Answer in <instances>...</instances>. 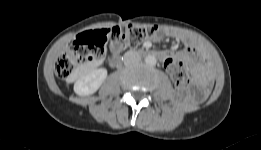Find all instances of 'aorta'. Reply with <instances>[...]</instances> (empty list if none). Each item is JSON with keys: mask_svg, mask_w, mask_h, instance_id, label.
<instances>
[{"mask_svg": "<svg viewBox=\"0 0 261 150\" xmlns=\"http://www.w3.org/2000/svg\"><path fill=\"white\" fill-rule=\"evenodd\" d=\"M145 63L149 66H154L157 63V59L155 58V56L148 55L145 58Z\"/></svg>", "mask_w": 261, "mask_h": 150, "instance_id": "obj_1", "label": "aorta"}]
</instances>
